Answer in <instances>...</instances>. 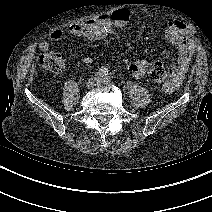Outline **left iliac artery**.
<instances>
[{
    "label": "left iliac artery",
    "instance_id": "44dca946",
    "mask_svg": "<svg viewBox=\"0 0 212 212\" xmlns=\"http://www.w3.org/2000/svg\"><path fill=\"white\" fill-rule=\"evenodd\" d=\"M103 82H104V83H108V82H110V78L105 77V78L103 79Z\"/></svg>",
    "mask_w": 212,
    "mask_h": 212
}]
</instances>
